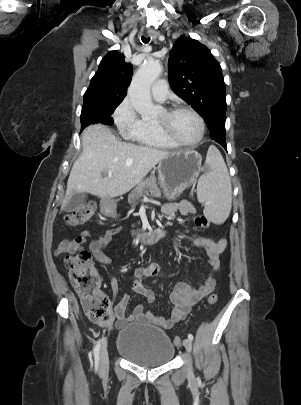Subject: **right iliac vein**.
Masks as SVG:
<instances>
[{
	"instance_id": "63e3f726",
	"label": "right iliac vein",
	"mask_w": 301,
	"mask_h": 405,
	"mask_svg": "<svg viewBox=\"0 0 301 405\" xmlns=\"http://www.w3.org/2000/svg\"><path fill=\"white\" fill-rule=\"evenodd\" d=\"M109 368V357L107 351V340H104L99 352V372L104 375Z\"/></svg>"
}]
</instances>
